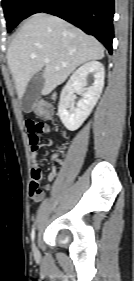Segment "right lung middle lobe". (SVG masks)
Instances as JSON below:
<instances>
[{
    "instance_id": "1",
    "label": "right lung middle lobe",
    "mask_w": 134,
    "mask_h": 281,
    "mask_svg": "<svg viewBox=\"0 0 134 281\" xmlns=\"http://www.w3.org/2000/svg\"><path fill=\"white\" fill-rule=\"evenodd\" d=\"M36 0H2V6L10 32L20 21L28 17V12Z\"/></svg>"
}]
</instances>
